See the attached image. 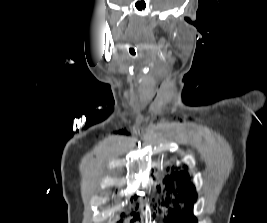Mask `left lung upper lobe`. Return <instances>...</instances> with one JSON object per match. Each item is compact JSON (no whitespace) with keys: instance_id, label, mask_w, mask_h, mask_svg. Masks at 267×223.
I'll return each instance as SVG.
<instances>
[{"instance_id":"5c2ea615","label":"left lung upper lobe","mask_w":267,"mask_h":223,"mask_svg":"<svg viewBox=\"0 0 267 223\" xmlns=\"http://www.w3.org/2000/svg\"><path fill=\"white\" fill-rule=\"evenodd\" d=\"M183 167L185 168L183 171L173 172L167 177L165 182L168 185V202L170 203L162 209V214H177L178 222H184L180 214L192 215L193 204H198L195 187L188 182L190 179L186 170L188 167L186 165Z\"/></svg>"}]
</instances>
